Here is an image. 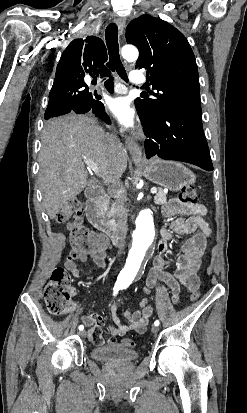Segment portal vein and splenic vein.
Instances as JSON below:
<instances>
[{
  "label": "portal vein and splenic vein",
  "mask_w": 247,
  "mask_h": 413,
  "mask_svg": "<svg viewBox=\"0 0 247 413\" xmlns=\"http://www.w3.org/2000/svg\"><path fill=\"white\" fill-rule=\"evenodd\" d=\"M87 168H90V170H93V172H96V174H98L99 170H98V164H96V162H93V160H84ZM151 192H157V188H155V186H153V188H151Z\"/></svg>",
  "instance_id": "1"
}]
</instances>
